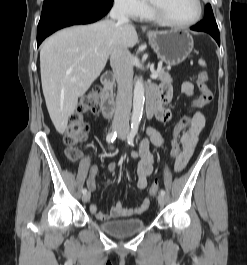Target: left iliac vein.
Wrapping results in <instances>:
<instances>
[{"label":"left iliac vein","mask_w":247,"mask_h":265,"mask_svg":"<svg viewBox=\"0 0 247 265\" xmlns=\"http://www.w3.org/2000/svg\"><path fill=\"white\" fill-rule=\"evenodd\" d=\"M127 134H128V129H123V130H121V131L119 132V138H120V139H125L126 136H127ZM158 202H159V204H160L161 206H163V205L165 204V202H166V198H165V196L160 194V195L158 196Z\"/></svg>","instance_id":"obj_1"}]
</instances>
